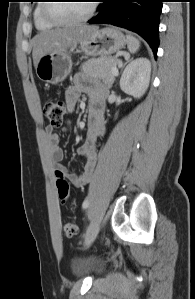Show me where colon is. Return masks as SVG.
Returning a JSON list of instances; mask_svg holds the SVG:
<instances>
[{
    "mask_svg": "<svg viewBox=\"0 0 195 299\" xmlns=\"http://www.w3.org/2000/svg\"><path fill=\"white\" fill-rule=\"evenodd\" d=\"M66 111V105L60 100H48L43 105V114L53 126H60ZM56 188L60 202L65 204L69 197V184L61 172H56ZM78 227L73 222H67L64 225V232L67 236H73L77 233Z\"/></svg>",
    "mask_w": 195,
    "mask_h": 299,
    "instance_id": "1",
    "label": "colon"
}]
</instances>
